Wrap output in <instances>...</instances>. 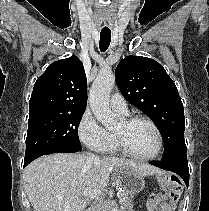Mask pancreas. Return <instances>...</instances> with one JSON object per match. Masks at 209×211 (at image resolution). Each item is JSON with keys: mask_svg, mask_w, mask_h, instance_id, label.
I'll return each mask as SVG.
<instances>
[{"mask_svg": "<svg viewBox=\"0 0 209 211\" xmlns=\"http://www.w3.org/2000/svg\"><path fill=\"white\" fill-rule=\"evenodd\" d=\"M122 196L119 197V202L122 206V211H133V203L127 193L121 192ZM91 211H108L106 201L101 197L95 201Z\"/></svg>", "mask_w": 209, "mask_h": 211, "instance_id": "1", "label": "pancreas"}]
</instances>
